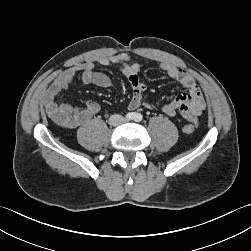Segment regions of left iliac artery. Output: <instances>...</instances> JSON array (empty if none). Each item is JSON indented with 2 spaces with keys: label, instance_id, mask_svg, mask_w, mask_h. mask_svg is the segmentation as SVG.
<instances>
[{
  "label": "left iliac artery",
  "instance_id": "44dca946",
  "mask_svg": "<svg viewBox=\"0 0 251 251\" xmlns=\"http://www.w3.org/2000/svg\"><path fill=\"white\" fill-rule=\"evenodd\" d=\"M142 120V116L140 114L135 116V121L139 122Z\"/></svg>",
  "mask_w": 251,
  "mask_h": 251
}]
</instances>
